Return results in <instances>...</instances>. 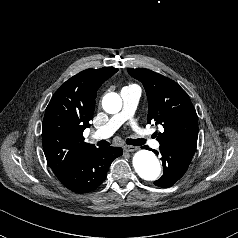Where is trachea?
I'll list each match as a JSON object with an SVG mask.
<instances>
[{"label":"trachea","instance_id":"trachea-1","mask_svg":"<svg viewBox=\"0 0 238 238\" xmlns=\"http://www.w3.org/2000/svg\"><path fill=\"white\" fill-rule=\"evenodd\" d=\"M126 143L129 145H135V146H140L145 144V140L143 139H127ZM99 146H108L109 142L105 141V140H101L98 143Z\"/></svg>","mask_w":238,"mask_h":238}]
</instances>
